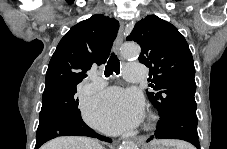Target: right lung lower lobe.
<instances>
[{
  "instance_id": "98d812e1",
  "label": "right lung lower lobe",
  "mask_w": 227,
  "mask_h": 149,
  "mask_svg": "<svg viewBox=\"0 0 227 149\" xmlns=\"http://www.w3.org/2000/svg\"><path fill=\"white\" fill-rule=\"evenodd\" d=\"M58 136H88L106 142H112L111 139L97 134L83 120L67 119L39 124L36 133L35 149H38L45 142Z\"/></svg>"
}]
</instances>
